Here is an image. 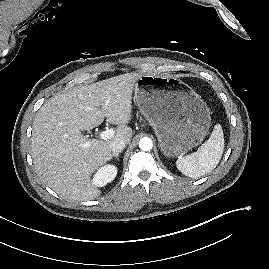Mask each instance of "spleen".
Returning <instances> with one entry per match:
<instances>
[{
  "label": "spleen",
  "mask_w": 269,
  "mask_h": 269,
  "mask_svg": "<svg viewBox=\"0 0 269 269\" xmlns=\"http://www.w3.org/2000/svg\"><path fill=\"white\" fill-rule=\"evenodd\" d=\"M223 150V130L220 124H216L210 138L196 152L178 157L177 169L188 177H201L216 168L221 160Z\"/></svg>",
  "instance_id": "1"
}]
</instances>
